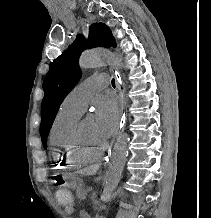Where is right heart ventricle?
<instances>
[{
	"label": "right heart ventricle",
	"mask_w": 211,
	"mask_h": 218,
	"mask_svg": "<svg viewBox=\"0 0 211 218\" xmlns=\"http://www.w3.org/2000/svg\"><path fill=\"white\" fill-rule=\"evenodd\" d=\"M80 116V112L62 105L54 118L51 127L54 144L50 147V157L55 169H80V164L97 159L81 156L73 148V132Z\"/></svg>",
	"instance_id": "e07e8e85"
}]
</instances>
